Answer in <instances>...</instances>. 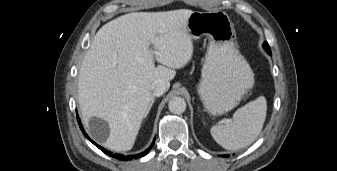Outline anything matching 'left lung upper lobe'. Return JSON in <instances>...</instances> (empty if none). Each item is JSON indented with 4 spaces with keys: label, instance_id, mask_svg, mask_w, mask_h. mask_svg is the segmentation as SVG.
<instances>
[{
    "label": "left lung upper lobe",
    "instance_id": "obj_1",
    "mask_svg": "<svg viewBox=\"0 0 337 171\" xmlns=\"http://www.w3.org/2000/svg\"><path fill=\"white\" fill-rule=\"evenodd\" d=\"M263 47L265 48L266 52H267L269 55H271V50H270V47H269V45H268L267 42H265V43L263 44Z\"/></svg>",
    "mask_w": 337,
    "mask_h": 171
}]
</instances>
